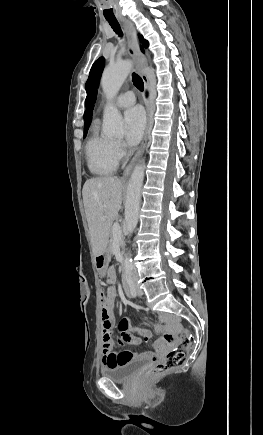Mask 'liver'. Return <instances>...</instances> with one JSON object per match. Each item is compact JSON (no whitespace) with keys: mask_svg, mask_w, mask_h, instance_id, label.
Listing matches in <instances>:
<instances>
[{"mask_svg":"<svg viewBox=\"0 0 263 435\" xmlns=\"http://www.w3.org/2000/svg\"><path fill=\"white\" fill-rule=\"evenodd\" d=\"M123 182L113 177L87 180L82 195L95 256L105 252L113 221L122 204Z\"/></svg>","mask_w":263,"mask_h":435,"instance_id":"6515ba94","label":"liver"}]
</instances>
